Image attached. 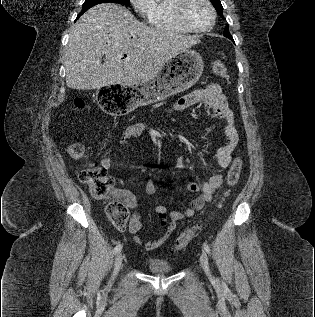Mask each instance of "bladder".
Listing matches in <instances>:
<instances>
[{"label": "bladder", "mask_w": 315, "mask_h": 317, "mask_svg": "<svg viewBox=\"0 0 315 317\" xmlns=\"http://www.w3.org/2000/svg\"><path fill=\"white\" fill-rule=\"evenodd\" d=\"M148 269L155 274H168L172 271V265L162 259H150L148 261Z\"/></svg>", "instance_id": "obj_1"}]
</instances>
